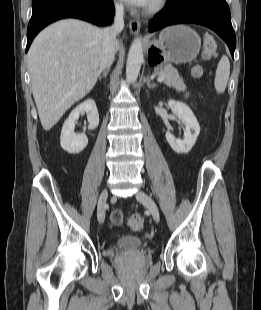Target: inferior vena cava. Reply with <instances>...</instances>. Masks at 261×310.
I'll return each instance as SVG.
<instances>
[{"instance_id":"1","label":"inferior vena cava","mask_w":261,"mask_h":310,"mask_svg":"<svg viewBox=\"0 0 261 310\" xmlns=\"http://www.w3.org/2000/svg\"><path fill=\"white\" fill-rule=\"evenodd\" d=\"M124 8L122 4L115 5V17L111 26L104 29V41L99 57L100 71L109 69L115 58L116 36L124 28Z\"/></svg>"}]
</instances>
